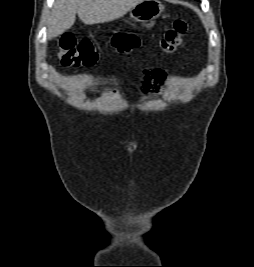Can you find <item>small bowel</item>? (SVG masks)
I'll use <instances>...</instances> for the list:
<instances>
[{
    "label": "small bowel",
    "instance_id": "small-bowel-1",
    "mask_svg": "<svg viewBox=\"0 0 254 267\" xmlns=\"http://www.w3.org/2000/svg\"><path fill=\"white\" fill-rule=\"evenodd\" d=\"M166 77L167 74L162 69L153 68L144 70L138 85L137 94H157L160 90V85L165 81ZM111 93H116V91L113 90Z\"/></svg>",
    "mask_w": 254,
    "mask_h": 267
}]
</instances>
